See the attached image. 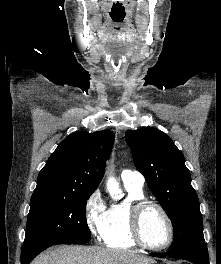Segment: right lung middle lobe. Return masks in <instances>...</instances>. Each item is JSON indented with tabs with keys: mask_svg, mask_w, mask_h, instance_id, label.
<instances>
[{
	"mask_svg": "<svg viewBox=\"0 0 221 264\" xmlns=\"http://www.w3.org/2000/svg\"><path fill=\"white\" fill-rule=\"evenodd\" d=\"M92 193L33 192L21 255L56 244L89 241L85 209Z\"/></svg>",
	"mask_w": 221,
	"mask_h": 264,
	"instance_id": "dd1d6c3e",
	"label": "right lung middle lobe"
}]
</instances>
